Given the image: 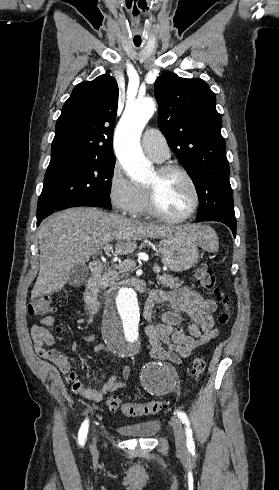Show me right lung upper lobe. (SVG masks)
<instances>
[{"label": "right lung upper lobe", "mask_w": 279, "mask_h": 490, "mask_svg": "<svg viewBox=\"0 0 279 490\" xmlns=\"http://www.w3.org/2000/svg\"><path fill=\"white\" fill-rule=\"evenodd\" d=\"M117 103L118 86L113 77L101 75L78 84L57 120L50 163L114 155Z\"/></svg>", "instance_id": "1"}]
</instances>
